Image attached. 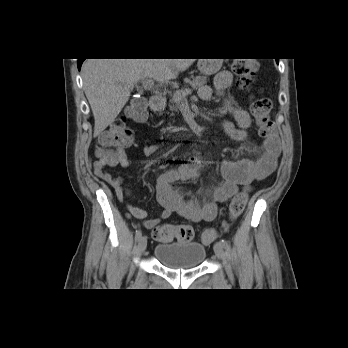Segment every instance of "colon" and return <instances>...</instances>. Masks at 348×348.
I'll return each mask as SVG.
<instances>
[{"label":"colon","mask_w":348,"mask_h":348,"mask_svg":"<svg viewBox=\"0 0 348 348\" xmlns=\"http://www.w3.org/2000/svg\"><path fill=\"white\" fill-rule=\"evenodd\" d=\"M257 60L250 57L238 58L232 65V71L237 77V84L241 89H248L257 70ZM251 114L257 124L258 134L269 137L275 134V125L271 119L272 102L269 98L258 97L251 102ZM143 124L147 120L145 101L136 99L127 107L125 117L113 122L100 136L97 148L98 159L106 164H113L120 158V151L131 144L133 133L127 126V121ZM248 196L240 192L233 197L228 208L229 222L235 221L244 211ZM228 224H226L227 226ZM153 236L162 242L174 239L189 242L195 237V230L190 225H157L153 228ZM218 232L215 229H206L202 232L201 239L204 244L216 240Z\"/></svg>","instance_id":"1"}]
</instances>
